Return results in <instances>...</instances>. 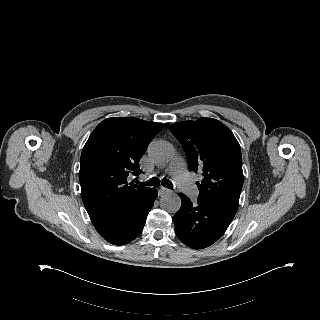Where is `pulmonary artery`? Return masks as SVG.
I'll return each mask as SVG.
<instances>
[{
  "label": "pulmonary artery",
  "instance_id": "e3ab8cb5",
  "mask_svg": "<svg viewBox=\"0 0 320 320\" xmlns=\"http://www.w3.org/2000/svg\"><path fill=\"white\" fill-rule=\"evenodd\" d=\"M168 172L173 176L177 186L191 198L197 197L198 189L189 178L185 161L181 156H176L170 163Z\"/></svg>",
  "mask_w": 320,
  "mask_h": 320
}]
</instances>
